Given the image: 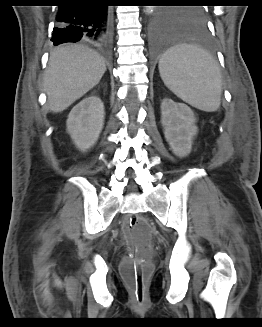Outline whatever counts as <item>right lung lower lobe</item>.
Returning <instances> with one entry per match:
<instances>
[{"label": "right lung lower lobe", "mask_w": 262, "mask_h": 327, "mask_svg": "<svg viewBox=\"0 0 262 327\" xmlns=\"http://www.w3.org/2000/svg\"><path fill=\"white\" fill-rule=\"evenodd\" d=\"M56 15L51 41H85L107 50L111 38V13L102 0H63ZM75 3V4H74Z\"/></svg>", "instance_id": "right-lung-lower-lobe-1"}]
</instances>
